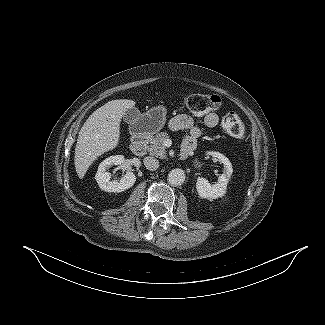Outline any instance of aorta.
I'll use <instances>...</instances> for the list:
<instances>
[{
  "mask_svg": "<svg viewBox=\"0 0 325 325\" xmlns=\"http://www.w3.org/2000/svg\"><path fill=\"white\" fill-rule=\"evenodd\" d=\"M185 181V173L182 169H172L168 174V182L171 185L178 186Z\"/></svg>",
  "mask_w": 325,
  "mask_h": 325,
  "instance_id": "762f6f07",
  "label": "aorta"
}]
</instances>
